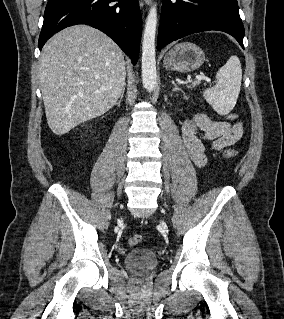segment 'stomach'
<instances>
[{"label":"stomach","instance_id":"0dacf381","mask_svg":"<svg viewBox=\"0 0 284 319\" xmlns=\"http://www.w3.org/2000/svg\"><path fill=\"white\" fill-rule=\"evenodd\" d=\"M205 61L203 50L189 42L175 45L164 57L167 70L187 73L198 69Z\"/></svg>","mask_w":284,"mask_h":319}]
</instances>
